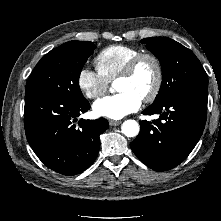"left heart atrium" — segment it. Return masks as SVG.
<instances>
[{"label": "left heart atrium", "mask_w": 221, "mask_h": 221, "mask_svg": "<svg viewBox=\"0 0 221 221\" xmlns=\"http://www.w3.org/2000/svg\"><path fill=\"white\" fill-rule=\"evenodd\" d=\"M141 104L140 96L131 91H123L97 100L93 105V111L100 117L121 119L137 111Z\"/></svg>", "instance_id": "left-heart-atrium-1"}]
</instances>
